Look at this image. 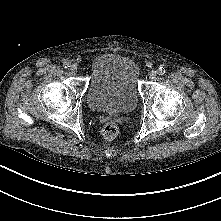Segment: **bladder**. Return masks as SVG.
<instances>
[{
  "label": "bladder",
  "mask_w": 221,
  "mask_h": 221,
  "mask_svg": "<svg viewBox=\"0 0 221 221\" xmlns=\"http://www.w3.org/2000/svg\"><path fill=\"white\" fill-rule=\"evenodd\" d=\"M140 68L124 54L103 52L91 63L87 103L97 112H130L138 103Z\"/></svg>",
  "instance_id": "1"
}]
</instances>
